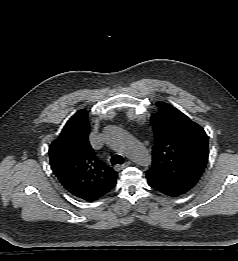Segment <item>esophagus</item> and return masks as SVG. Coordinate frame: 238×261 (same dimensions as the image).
Masks as SVG:
<instances>
[{
  "label": "esophagus",
  "mask_w": 238,
  "mask_h": 261,
  "mask_svg": "<svg viewBox=\"0 0 238 261\" xmlns=\"http://www.w3.org/2000/svg\"><path fill=\"white\" fill-rule=\"evenodd\" d=\"M130 164H131V162H130V161H127V162H125V163L122 164V165H119V164H118V165H115V166H114V169H115L116 171H120V170H122V169L128 167Z\"/></svg>",
  "instance_id": "1"
}]
</instances>
